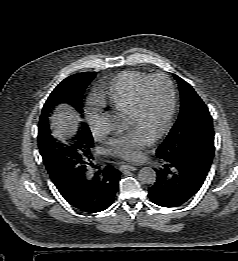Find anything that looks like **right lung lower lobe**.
Masks as SVG:
<instances>
[{
    "label": "right lung lower lobe",
    "mask_w": 238,
    "mask_h": 261,
    "mask_svg": "<svg viewBox=\"0 0 238 261\" xmlns=\"http://www.w3.org/2000/svg\"><path fill=\"white\" fill-rule=\"evenodd\" d=\"M119 177L117 169L106 166L94 176H90L86 169L69 183L55 185L73 207L94 213L106 210L114 202Z\"/></svg>",
    "instance_id": "right-lung-lower-lobe-1"
}]
</instances>
